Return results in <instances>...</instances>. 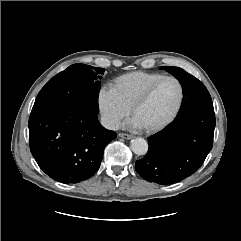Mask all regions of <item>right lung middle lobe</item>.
Segmentation results:
<instances>
[{"mask_svg": "<svg viewBox=\"0 0 241 241\" xmlns=\"http://www.w3.org/2000/svg\"><path fill=\"white\" fill-rule=\"evenodd\" d=\"M105 69L74 64L50 79L39 92L32 112L65 106L98 114L100 80Z\"/></svg>", "mask_w": 241, "mask_h": 241, "instance_id": "obj_1", "label": "right lung middle lobe"}]
</instances>
